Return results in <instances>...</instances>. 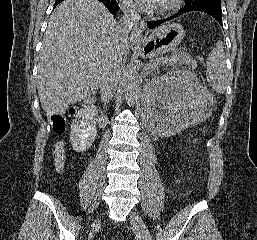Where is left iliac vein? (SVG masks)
I'll return each mask as SVG.
<instances>
[{"mask_svg":"<svg viewBox=\"0 0 257 240\" xmlns=\"http://www.w3.org/2000/svg\"><path fill=\"white\" fill-rule=\"evenodd\" d=\"M130 221L134 230L137 232L142 240H152L151 234L147 226L136 211H132L130 213Z\"/></svg>","mask_w":257,"mask_h":240,"instance_id":"4c4485c4","label":"left iliac vein"}]
</instances>
